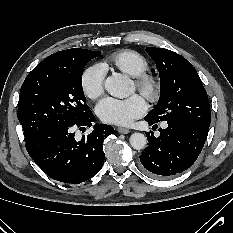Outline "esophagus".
I'll use <instances>...</instances> for the list:
<instances>
[{
    "instance_id": "esophagus-1",
    "label": "esophagus",
    "mask_w": 233,
    "mask_h": 233,
    "mask_svg": "<svg viewBox=\"0 0 233 233\" xmlns=\"http://www.w3.org/2000/svg\"><path fill=\"white\" fill-rule=\"evenodd\" d=\"M117 131H118L119 133H121V134H128V133H130V130H129V129L123 128V127H119V128L117 129Z\"/></svg>"
}]
</instances>
